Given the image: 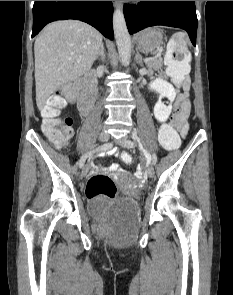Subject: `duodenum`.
<instances>
[{"mask_svg":"<svg viewBox=\"0 0 233 295\" xmlns=\"http://www.w3.org/2000/svg\"><path fill=\"white\" fill-rule=\"evenodd\" d=\"M96 97L95 73L90 72L85 77V87L78 101L79 110L84 114L89 113L94 106Z\"/></svg>","mask_w":233,"mask_h":295,"instance_id":"obj_1","label":"duodenum"}]
</instances>
